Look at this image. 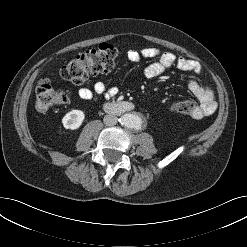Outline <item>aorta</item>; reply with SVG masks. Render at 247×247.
<instances>
[{
	"label": "aorta",
	"instance_id": "1",
	"mask_svg": "<svg viewBox=\"0 0 247 247\" xmlns=\"http://www.w3.org/2000/svg\"><path fill=\"white\" fill-rule=\"evenodd\" d=\"M120 123L131 129H140L142 126V119L137 114H124L119 119Z\"/></svg>",
	"mask_w": 247,
	"mask_h": 247
}]
</instances>
